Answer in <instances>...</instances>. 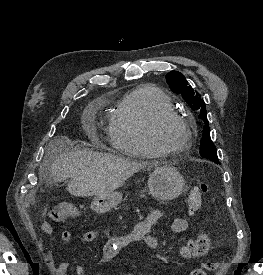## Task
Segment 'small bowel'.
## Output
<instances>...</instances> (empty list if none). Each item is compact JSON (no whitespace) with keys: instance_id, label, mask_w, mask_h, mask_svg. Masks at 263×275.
Here are the masks:
<instances>
[{"instance_id":"c3829d8e","label":"small bowel","mask_w":263,"mask_h":275,"mask_svg":"<svg viewBox=\"0 0 263 275\" xmlns=\"http://www.w3.org/2000/svg\"><path fill=\"white\" fill-rule=\"evenodd\" d=\"M164 216L162 211H155L151 213L148 218L144 221L139 222L134 230L126 235L117 236L109 239L102 249L101 261L104 263L111 262L115 259L118 252L127 247L132 243H144L151 249L158 247V240L150 235L152 227L157 224ZM189 227V221L186 218L177 217L172 221L171 230L176 233L183 232ZM42 231L49 237L51 241H56L57 237L52 228L48 223L41 225ZM73 239V234L70 231H63L61 233V240L63 242H70ZM98 239V233L96 231H88L83 235L85 242H94ZM50 269L55 275H67L70 268L69 262L54 263L53 257L50 255ZM76 275H85V270L82 265H76ZM131 275V274H127Z\"/></svg>"}]
</instances>
